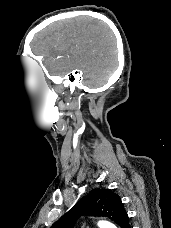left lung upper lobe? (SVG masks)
<instances>
[{"label": "left lung upper lobe", "mask_w": 171, "mask_h": 228, "mask_svg": "<svg viewBox=\"0 0 171 228\" xmlns=\"http://www.w3.org/2000/svg\"><path fill=\"white\" fill-rule=\"evenodd\" d=\"M105 216L119 227L128 223L127 212L120 197L109 189H93L83 197L71 210L55 222L51 228H73L79 216Z\"/></svg>", "instance_id": "left-lung-upper-lobe-1"}]
</instances>
